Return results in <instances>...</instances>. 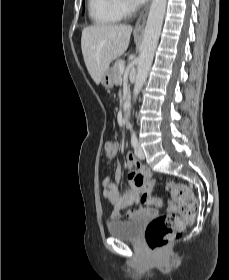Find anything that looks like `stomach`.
Masks as SVG:
<instances>
[{
    "label": "stomach",
    "mask_w": 229,
    "mask_h": 280,
    "mask_svg": "<svg viewBox=\"0 0 229 280\" xmlns=\"http://www.w3.org/2000/svg\"><path fill=\"white\" fill-rule=\"evenodd\" d=\"M113 76V70L111 68H108L101 79V84L103 85V87H105L106 89H110L113 87Z\"/></svg>",
    "instance_id": "obj_1"
}]
</instances>
